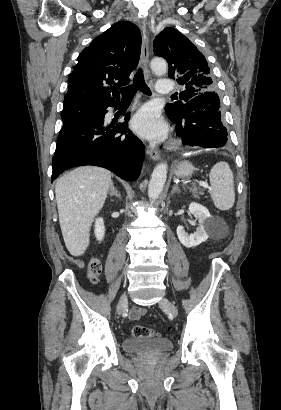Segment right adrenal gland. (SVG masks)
Returning a JSON list of instances; mask_svg holds the SVG:
<instances>
[{"label": "right adrenal gland", "instance_id": "obj_1", "mask_svg": "<svg viewBox=\"0 0 281 410\" xmlns=\"http://www.w3.org/2000/svg\"><path fill=\"white\" fill-rule=\"evenodd\" d=\"M110 193L109 195L112 196H116L118 198H121V194L118 192V190L114 187L113 183H111V187H110Z\"/></svg>", "mask_w": 281, "mask_h": 410}]
</instances>
